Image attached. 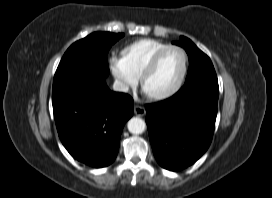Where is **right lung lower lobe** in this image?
I'll use <instances>...</instances> for the list:
<instances>
[{
    "mask_svg": "<svg viewBox=\"0 0 272 198\" xmlns=\"http://www.w3.org/2000/svg\"><path fill=\"white\" fill-rule=\"evenodd\" d=\"M52 104L59 138L78 161L100 168L117 156L133 99L110 91L104 78L80 74L53 86Z\"/></svg>",
    "mask_w": 272,
    "mask_h": 198,
    "instance_id": "1",
    "label": "right lung lower lobe"
}]
</instances>
